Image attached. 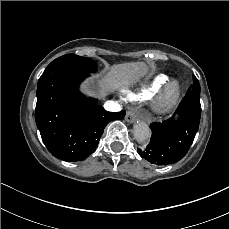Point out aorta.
<instances>
[{
  "label": "aorta",
  "mask_w": 229,
  "mask_h": 229,
  "mask_svg": "<svg viewBox=\"0 0 229 229\" xmlns=\"http://www.w3.org/2000/svg\"><path fill=\"white\" fill-rule=\"evenodd\" d=\"M133 134L137 142L144 143L150 138V129L145 122L139 121L133 126Z\"/></svg>",
  "instance_id": "762f6f07"
}]
</instances>
